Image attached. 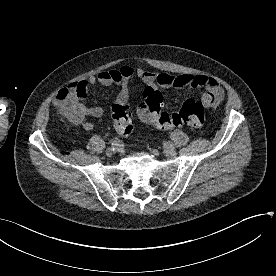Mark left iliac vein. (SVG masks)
Segmentation results:
<instances>
[{"mask_svg": "<svg viewBox=\"0 0 276 276\" xmlns=\"http://www.w3.org/2000/svg\"><path fill=\"white\" fill-rule=\"evenodd\" d=\"M164 152L168 157H175L177 154L176 150H174V149H166L165 148Z\"/></svg>", "mask_w": 276, "mask_h": 276, "instance_id": "obj_1", "label": "left iliac vein"}]
</instances>
